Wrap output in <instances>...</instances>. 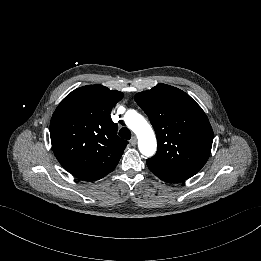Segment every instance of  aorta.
I'll use <instances>...</instances> for the list:
<instances>
[{"mask_svg":"<svg viewBox=\"0 0 261 261\" xmlns=\"http://www.w3.org/2000/svg\"><path fill=\"white\" fill-rule=\"evenodd\" d=\"M121 109L123 107H120L118 111L120 112ZM124 121L140 139L139 150L141 154L146 157L153 156L156 152V143L153 130L148 122L133 109L125 113Z\"/></svg>","mask_w":261,"mask_h":261,"instance_id":"obj_1","label":"aorta"}]
</instances>
